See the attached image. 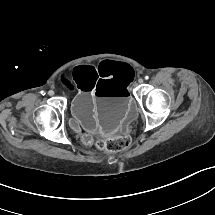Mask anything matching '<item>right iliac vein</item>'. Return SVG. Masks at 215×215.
<instances>
[{"label": "right iliac vein", "mask_w": 215, "mask_h": 215, "mask_svg": "<svg viewBox=\"0 0 215 215\" xmlns=\"http://www.w3.org/2000/svg\"><path fill=\"white\" fill-rule=\"evenodd\" d=\"M48 94H49L50 96H53V95H54V91H53V90H50V91L48 92Z\"/></svg>", "instance_id": "1"}]
</instances>
